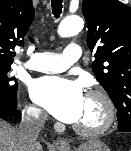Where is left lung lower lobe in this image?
<instances>
[{
    "instance_id": "0a47b994",
    "label": "left lung lower lobe",
    "mask_w": 131,
    "mask_h": 151,
    "mask_svg": "<svg viewBox=\"0 0 131 151\" xmlns=\"http://www.w3.org/2000/svg\"><path fill=\"white\" fill-rule=\"evenodd\" d=\"M120 132H131V124H126L122 127H118Z\"/></svg>"
}]
</instances>
